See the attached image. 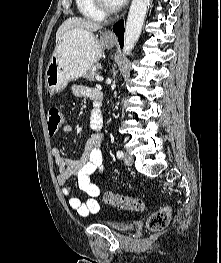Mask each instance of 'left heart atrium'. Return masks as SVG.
<instances>
[{"instance_id": "left-heart-atrium-1", "label": "left heart atrium", "mask_w": 221, "mask_h": 263, "mask_svg": "<svg viewBox=\"0 0 221 263\" xmlns=\"http://www.w3.org/2000/svg\"><path fill=\"white\" fill-rule=\"evenodd\" d=\"M118 5H121L125 0H115Z\"/></svg>"}]
</instances>
